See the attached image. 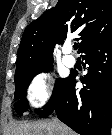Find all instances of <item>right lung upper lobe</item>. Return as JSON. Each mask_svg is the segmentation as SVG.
Here are the masks:
<instances>
[{
    "label": "right lung upper lobe",
    "instance_id": "cb5924a9",
    "mask_svg": "<svg viewBox=\"0 0 112 135\" xmlns=\"http://www.w3.org/2000/svg\"><path fill=\"white\" fill-rule=\"evenodd\" d=\"M77 36L79 50L112 39L111 0H59L24 31L18 49L15 76L34 73L53 62L55 43Z\"/></svg>",
    "mask_w": 112,
    "mask_h": 135
}]
</instances>
